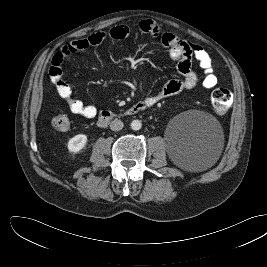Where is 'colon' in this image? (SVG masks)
<instances>
[{"instance_id":"5ec220e1","label":"colon","mask_w":267,"mask_h":267,"mask_svg":"<svg viewBox=\"0 0 267 267\" xmlns=\"http://www.w3.org/2000/svg\"><path fill=\"white\" fill-rule=\"evenodd\" d=\"M231 92L225 88H217L211 94L212 107L218 115H224L232 105ZM51 125L59 131H66L70 127V120L64 114H57L51 118Z\"/></svg>"}]
</instances>
